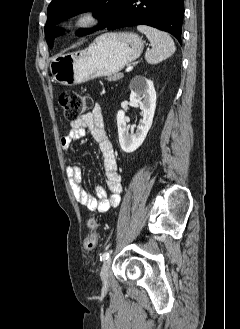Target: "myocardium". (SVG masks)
<instances>
[{
    "label": "myocardium",
    "mask_w": 240,
    "mask_h": 329,
    "mask_svg": "<svg viewBox=\"0 0 240 329\" xmlns=\"http://www.w3.org/2000/svg\"><path fill=\"white\" fill-rule=\"evenodd\" d=\"M100 22L97 11L86 7L76 10L70 17L68 27L72 30H81L98 25Z\"/></svg>",
    "instance_id": "1"
}]
</instances>
